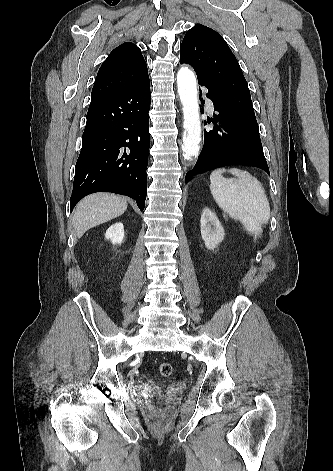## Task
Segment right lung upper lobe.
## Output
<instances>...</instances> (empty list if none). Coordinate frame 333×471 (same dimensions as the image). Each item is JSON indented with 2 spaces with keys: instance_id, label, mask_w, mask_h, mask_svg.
<instances>
[{
  "instance_id": "right-lung-upper-lobe-1",
  "label": "right lung upper lobe",
  "mask_w": 333,
  "mask_h": 471,
  "mask_svg": "<svg viewBox=\"0 0 333 471\" xmlns=\"http://www.w3.org/2000/svg\"><path fill=\"white\" fill-rule=\"evenodd\" d=\"M148 75L141 50L130 42L115 48L101 65L91 93V102L124 92Z\"/></svg>"
}]
</instances>
